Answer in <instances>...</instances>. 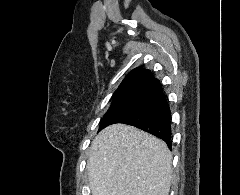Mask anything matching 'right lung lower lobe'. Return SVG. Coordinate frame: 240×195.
<instances>
[{
	"instance_id": "98d812e1",
	"label": "right lung lower lobe",
	"mask_w": 240,
	"mask_h": 195,
	"mask_svg": "<svg viewBox=\"0 0 240 195\" xmlns=\"http://www.w3.org/2000/svg\"><path fill=\"white\" fill-rule=\"evenodd\" d=\"M171 112L160 85L144 102L116 123L133 125L164 140L171 148Z\"/></svg>"
}]
</instances>
